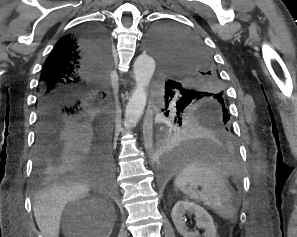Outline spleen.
Masks as SVG:
<instances>
[{
	"mask_svg": "<svg viewBox=\"0 0 297 237\" xmlns=\"http://www.w3.org/2000/svg\"><path fill=\"white\" fill-rule=\"evenodd\" d=\"M174 185L187 197L203 202L222 218L230 222L234 221L236 212L232 203V194L226 172L219 163L194 160L182 169ZM197 186H201L200 192H196Z\"/></svg>",
	"mask_w": 297,
	"mask_h": 237,
	"instance_id": "1",
	"label": "spleen"
}]
</instances>
